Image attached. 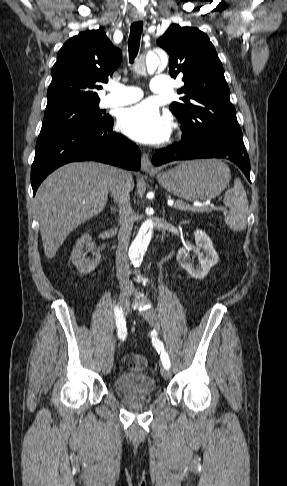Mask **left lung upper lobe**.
Masks as SVG:
<instances>
[{
	"label": "left lung upper lobe",
	"instance_id": "1",
	"mask_svg": "<svg viewBox=\"0 0 287 486\" xmlns=\"http://www.w3.org/2000/svg\"><path fill=\"white\" fill-rule=\"evenodd\" d=\"M157 44L170 56L171 77L183 75L182 97L169 108L184 133L243 143L224 69L208 36L195 27L172 24Z\"/></svg>",
	"mask_w": 287,
	"mask_h": 486
}]
</instances>
